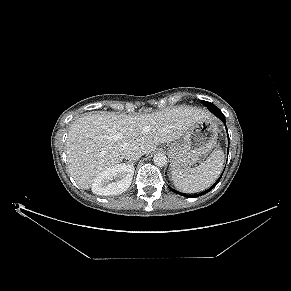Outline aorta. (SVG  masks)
<instances>
[{
	"instance_id": "1",
	"label": "aorta",
	"mask_w": 291,
	"mask_h": 291,
	"mask_svg": "<svg viewBox=\"0 0 291 291\" xmlns=\"http://www.w3.org/2000/svg\"><path fill=\"white\" fill-rule=\"evenodd\" d=\"M153 160L154 164L160 167L165 166L167 163V157L163 153H156L153 157Z\"/></svg>"
}]
</instances>
